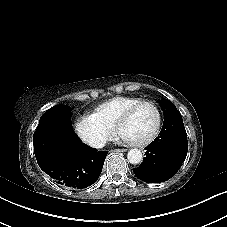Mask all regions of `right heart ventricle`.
I'll list each match as a JSON object with an SVG mask.
<instances>
[{
  "label": "right heart ventricle",
  "mask_w": 227,
  "mask_h": 227,
  "mask_svg": "<svg viewBox=\"0 0 227 227\" xmlns=\"http://www.w3.org/2000/svg\"><path fill=\"white\" fill-rule=\"evenodd\" d=\"M138 101V98L115 97L97 107L90 117L98 124L116 126Z\"/></svg>",
  "instance_id": "e07e8e85"
}]
</instances>
